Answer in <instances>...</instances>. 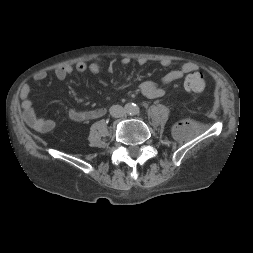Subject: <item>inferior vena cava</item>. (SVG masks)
<instances>
[{
  "mask_svg": "<svg viewBox=\"0 0 253 253\" xmlns=\"http://www.w3.org/2000/svg\"><path fill=\"white\" fill-rule=\"evenodd\" d=\"M125 112V109L120 105H113L110 107V114L115 118L124 116Z\"/></svg>",
  "mask_w": 253,
  "mask_h": 253,
  "instance_id": "1",
  "label": "inferior vena cava"
}]
</instances>
